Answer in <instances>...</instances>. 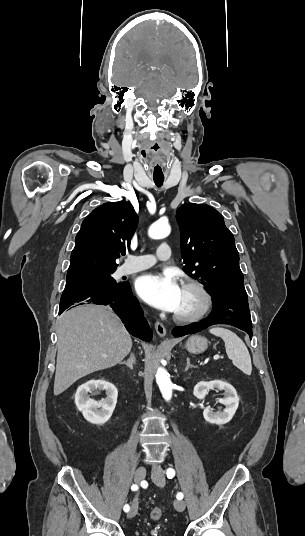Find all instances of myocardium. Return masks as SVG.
Wrapping results in <instances>:
<instances>
[{"label":"myocardium","mask_w":305,"mask_h":536,"mask_svg":"<svg viewBox=\"0 0 305 536\" xmlns=\"http://www.w3.org/2000/svg\"><path fill=\"white\" fill-rule=\"evenodd\" d=\"M182 287L196 290L202 298V305L197 311L194 312H175L173 315L174 320L180 322L196 321L207 316L212 311L214 307V296L206 284L197 279H187L182 283Z\"/></svg>","instance_id":"obj_1"}]
</instances>
